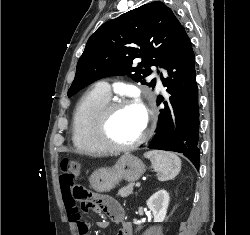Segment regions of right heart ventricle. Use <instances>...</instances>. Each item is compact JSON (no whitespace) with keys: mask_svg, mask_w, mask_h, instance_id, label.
<instances>
[{"mask_svg":"<svg viewBox=\"0 0 250 235\" xmlns=\"http://www.w3.org/2000/svg\"><path fill=\"white\" fill-rule=\"evenodd\" d=\"M110 101V96L94 87L79 100L72 121V141L80 154L95 156L107 152L95 139L94 125L99 111Z\"/></svg>","mask_w":250,"mask_h":235,"instance_id":"obj_1","label":"right heart ventricle"}]
</instances>
